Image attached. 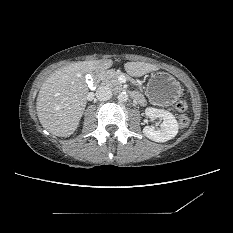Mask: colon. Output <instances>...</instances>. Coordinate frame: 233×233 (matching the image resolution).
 <instances>
[{"label": "colon", "instance_id": "1", "mask_svg": "<svg viewBox=\"0 0 233 233\" xmlns=\"http://www.w3.org/2000/svg\"><path fill=\"white\" fill-rule=\"evenodd\" d=\"M175 109L179 114L178 123L180 127L185 128L189 125L190 119L187 115L189 111V105L186 101L180 100L176 103Z\"/></svg>", "mask_w": 233, "mask_h": 233}]
</instances>
